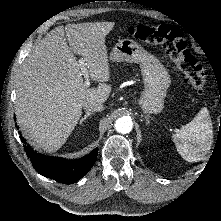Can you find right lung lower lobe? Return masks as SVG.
<instances>
[{"mask_svg":"<svg viewBox=\"0 0 221 221\" xmlns=\"http://www.w3.org/2000/svg\"><path fill=\"white\" fill-rule=\"evenodd\" d=\"M21 141L24 143L25 152L34 169L42 176L63 184H72L78 181L90 170L97 159V148L87 156L72 161L59 157L44 156L26 145L24 138H21Z\"/></svg>","mask_w":221,"mask_h":221,"instance_id":"1","label":"right lung lower lobe"}]
</instances>
